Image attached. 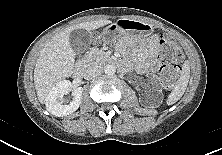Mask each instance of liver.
Wrapping results in <instances>:
<instances>
[{
	"label": "liver",
	"mask_w": 222,
	"mask_h": 155,
	"mask_svg": "<svg viewBox=\"0 0 222 155\" xmlns=\"http://www.w3.org/2000/svg\"><path fill=\"white\" fill-rule=\"evenodd\" d=\"M110 23L107 19L79 23L64 29L46 43L34 69L35 89L40 103H46L50 90L74 72L75 52L70 43L71 33L77 29L96 30Z\"/></svg>",
	"instance_id": "1"
}]
</instances>
